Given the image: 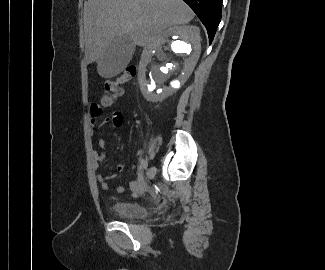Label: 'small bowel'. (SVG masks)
<instances>
[{
	"mask_svg": "<svg viewBox=\"0 0 325 270\" xmlns=\"http://www.w3.org/2000/svg\"><path fill=\"white\" fill-rule=\"evenodd\" d=\"M113 103H92L90 107V112H91V126L95 127L97 125V117L101 116L103 113V110H107L109 106H112ZM123 122V114L120 111H115L112 113L110 117H107L103 125H108V126H113L117 127L120 126ZM99 149L94 152V161H95V166L98 167L99 164L105 161L106 159V142L103 138H99L97 141ZM123 169V164L120 163L117 166V170L121 172ZM115 177V174H98L97 175V180L100 183L101 187L103 190H109L110 189V184L109 181ZM129 189L134 195H139L143 191V183H142V177L139 174L138 178L136 180H133L129 183ZM116 191L118 193H123L124 192V187L123 186H117Z\"/></svg>",
	"mask_w": 325,
	"mask_h": 270,
	"instance_id": "small-bowel-1",
	"label": "small bowel"
}]
</instances>
